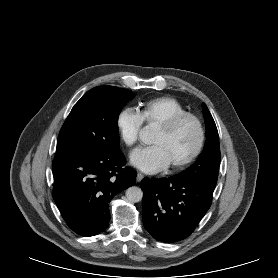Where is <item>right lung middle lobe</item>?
Listing matches in <instances>:
<instances>
[{
	"instance_id": "dd1d6c3e",
	"label": "right lung middle lobe",
	"mask_w": 278,
	"mask_h": 278,
	"mask_svg": "<svg viewBox=\"0 0 278 278\" xmlns=\"http://www.w3.org/2000/svg\"><path fill=\"white\" fill-rule=\"evenodd\" d=\"M133 96L131 91L114 86L87 92L60 130L55 159L119 150L118 116Z\"/></svg>"
}]
</instances>
